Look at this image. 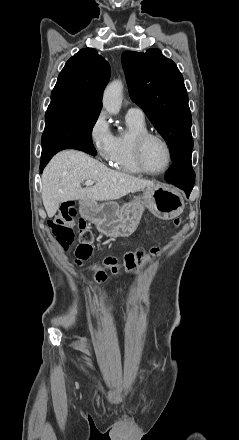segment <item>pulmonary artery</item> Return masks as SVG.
Masks as SVG:
<instances>
[{
	"label": "pulmonary artery",
	"instance_id": "e3ab8cb5",
	"mask_svg": "<svg viewBox=\"0 0 239 440\" xmlns=\"http://www.w3.org/2000/svg\"><path fill=\"white\" fill-rule=\"evenodd\" d=\"M127 118H131L137 121H144L145 120V114L142 108L135 105H130L127 109L126 113Z\"/></svg>",
	"mask_w": 239,
	"mask_h": 440
}]
</instances>
